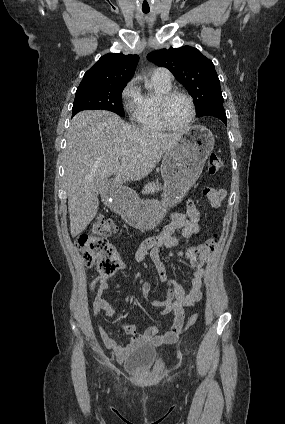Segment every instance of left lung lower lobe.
<instances>
[{"label": "left lung lower lobe", "instance_id": "obj_1", "mask_svg": "<svg viewBox=\"0 0 285 424\" xmlns=\"http://www.w3.org/2000/svg\"><path fill=\"white\" fill-rule=\"evenodd\" d=\"M203 116H213L221 121L224 122L225 125H227V117L226 113L223 107V104L218 103L209 106L205 111H203L201 114L197 115V117H203Z\"/></svg>", "mask_w": 285, "mask_h": 424}]
</instances>
